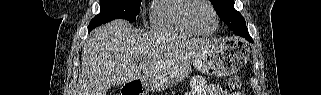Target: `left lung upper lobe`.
I'll list each match as a JSON object with an SVG mask.
<instances>
[{"label":"left lung upper lobe","mask_w":321,"mask_h":95,"mask_svg":"<svg viewBox=\"0 0 321 95\" xmlns=\"http://www.w3.org/2000/svg\"><path fill=\"white\" fill-rule=\"evenodd\" d=\"M210 2L215 7L220 19L236 35L247 30L245 19L234 9V0H210Z\"/></svg>","instance_id":"obj_1"}]
</instances>
